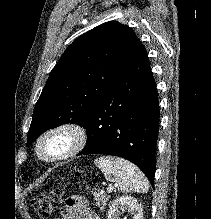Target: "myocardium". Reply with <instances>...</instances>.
Instances as JSON below:
<instances>
[{"instance_id":"myocardium-1","label":"myocardium","mask_w":211,"mask_h":219,"mask_svg":"<svg viewBox=\"0 0 211 219\" xmlns=\"http://www.w3.org/2000/svg\"><path fill=\"white\" fill-rule=\"evenodd\" d=\"M52 139L64 141L63 148L55 154H47L45 145ZM88 133L77 122H63L44 130L35 140L33 155L37 162L45 165L57 164L76 157L86 146Z\"/></svg>"}]
</instances>
